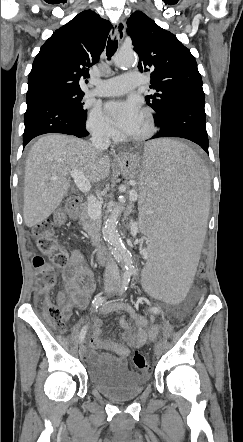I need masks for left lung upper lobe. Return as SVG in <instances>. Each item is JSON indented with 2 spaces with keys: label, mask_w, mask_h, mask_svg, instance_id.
<instances>
[{
  "label": "left lung upper lobe",
  "mask_w": 243,
  "mask_h": 442,
  "mask_svg": "<svg viewBox=\"0 0 243 442\" xmlns=\"http://www.w3.org/2000/svg\"><path fill=\"white\" fill-rule=\"evenodd\" d=\"M127 33L139 55L138 68L151 72V86L157 91L146 97L147 104L161 119L170 103L187 92H203L202 78L190 50L175 35L159 27L141 11L127 20Z\"/></svg>",
  "instance_id": "left-lung-upper-lobe-1"
}]
</instances>
